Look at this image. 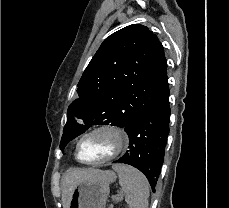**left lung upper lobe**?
<instances>
[{
    "label": "left lung upper lobe",
    "instance_id": "1",
    "mask_svg": "<svg viewBox=\"0 0 229 208\" xmlns=\"http://www.w3.org/2000/svg\"><path fill=\"white\" fill-rule=\"evenodd\" d=\"M166 70L163 46L147 27L133 24L110 35L77 85L60 149L91 125L126 128L169 89Z\"/></svg>",
    "mask_w": 229,
    "mask_h": 208
}]
</instances>
